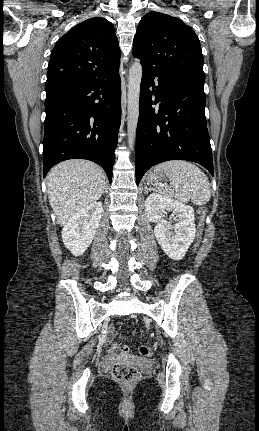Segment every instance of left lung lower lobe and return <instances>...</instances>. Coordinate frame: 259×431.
<instances>
[{
  "instance_id": "obj_1",
  "label": "left lung lower lobe",
  "mask_w": 259,
  "mask_h": 431,
  "mask_svg": "<svg viewBox=\"0 0 259 431\" xmlns=\"http://www.w3.org/2000/svg\"><path fill=\"white\" fill-rule=\"evenodd\" d=\"M158 102L159 109L152 108ZM205 104L203 87L143 66L136 135L137 184L150 167L174 159L197 162L214 175Z\"/></svg>"
}]
</instances>
